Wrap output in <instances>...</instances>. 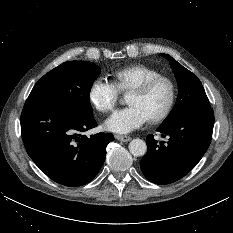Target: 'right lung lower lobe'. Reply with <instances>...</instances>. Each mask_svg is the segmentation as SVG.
<instances>
[{"label":"right lung lower lobe","instance_id":"obj_1","mask_svg":"<svg viewBox=\"0 0 233 233\" xmlns=\"http://www.w3.org/2000/svg\"><path fill=\"white\" fill-rule=\"evenodd\" d=\"M97 126L65 105L26 101L21 114V132L28 155L53 181L81 186L99 172L111 133L88 138L82 133Z\"/></svg>","mask_w":233,"mask_h":233}]
</instances>
